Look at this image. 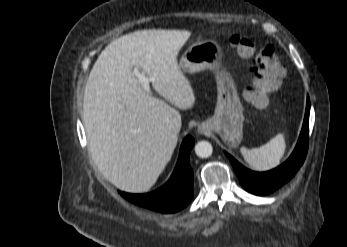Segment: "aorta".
I'll use <instances>...</instances> for the list:
<instances>
[{
  "label": "aorta",
  "instance_id": "obj_1",
  "mask_svg": "<svg viewBox=\"0 0 347 247\" xmlns=\"http://www.w3.org/2000/svg\"><path fill=\"white\" fill-rule=\"evenodd\" d=\"M213 147L208 141H199L195 146V153L200 158H208L212 155Z\"/></svg>",
  "mask_w": 347,
  "mask_h": 247
}]
</instances>
